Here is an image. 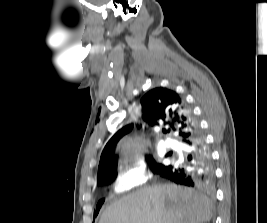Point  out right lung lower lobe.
<instances>
[{"label":"right lung lower lobe","mask_w":267,"mask_h":223,"mask_svg":"<svg viewBox=\"0 0 267 223\" xmlns=\"http://www.w3.org/2000/svg\"><path fill=\"white\" fill-rule=\"evenodd\" d=\"M194 135L184 141L187 150V165L165 166L159 173L176 184L189 187L209 188L214 182V168L210 150L198 124Z\"/></svg>","instance_id":"98d812e1"}]
</instances>
